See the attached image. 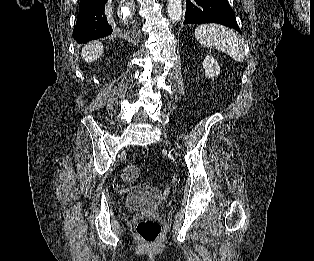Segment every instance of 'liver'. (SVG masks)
I'll return each mask as SVG.
<instances>
[{
	"label": "liver",
	"mask_w": 314,
	"mask_h": 261,
	"mask_svg": "<svg viewBox=\"0 0 314 261\" xmlns=\"http://www.w3.org/2000/svg\"><path fill=\"white\" fill-rule=\"evenodd\" d=\"M102 53L103 46L100 42L97 41L86 45L83 48L81 56L86 62L91 63L93 61H96Z\"/></svg>",
	"instance_id": "liver-1"
}]
</instances>
